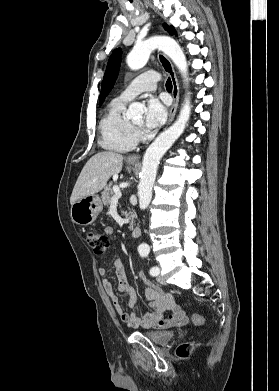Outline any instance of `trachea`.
<instances>
[{"instance_id": "obj_1", "label": "trachea", "mask_w": 279, "mask_h": 391, "mask_svg": "<svg viewBox=\"0 0 279 391\" xmlns=\"http://www.w3.org/2000/svg\"><path fill=\"white\" fill-rule=\"evenodd\" d=\"M166 89L167 90H172V82H171L170 78H168V80L166 82Z\"/></svg>"}]
</instances>
